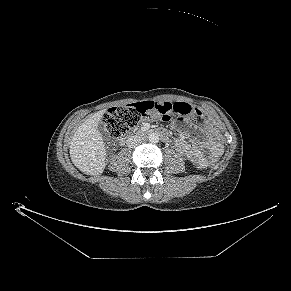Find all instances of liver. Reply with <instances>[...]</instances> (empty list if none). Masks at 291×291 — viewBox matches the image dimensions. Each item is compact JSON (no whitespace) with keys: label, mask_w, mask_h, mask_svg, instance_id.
Masks as SVG:
<instances>
[{"label":"liver","mask_w":291,"mask_h":291,"mask_svg":"<svg viewBox=\"0 0 291 291\" xmlns=\"http://www.w3.org/2000/svg\"><path fill=\"white\" fill-rule=\"evenodd\" d=\"M106 110L94 113L76 130L70 145L73 164L87 175H100L106 164V149L100 132L99 122Z\"/></svg>","instance_id":"1"}]
</instances>
